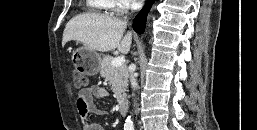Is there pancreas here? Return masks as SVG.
I'll list each match as a JSON object with an SVG mask.
<instances>
[{"instance_id":"obj_1","label":"pancreas","mask_w":257,"mask_h":130,"mask_svg":"<svg viewBox=\"0 0 257 130\" xmlns=\"http://www.w3.org/2000/svg\"><path fill=\"white\" fill-rule=\"evenodd\" d=\"M112 56H105L101 61L100 75L111 85L114 97L120 101L126 96V88L128 86V69L125 64L113 67Z\"/></svg>"}]
</instances>
